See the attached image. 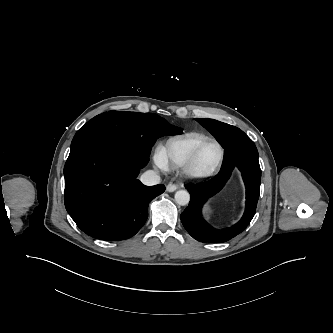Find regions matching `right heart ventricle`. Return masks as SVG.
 Listing matches in <instances>:
<instances>
[{
    "mask_svg": "<svg viewBox=\"0 0 333 333\" xmlns=\"http://www.w3.org/2000/svg\"><path fill=\"white\" fill-rule=\"evenodd\" d=\"M208 138L206 134L200 132L173 136L160 146L159 156L166 167H183L195 148Z\"/></svg>",
    "mask_w": 333,
    "mask_h": 333,
    "instance_id": "right-heart-ventricle-1",
    "label": "right heart ventricle"
}]
</instances>
